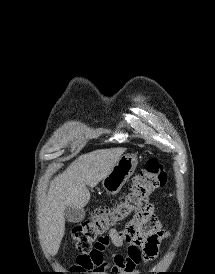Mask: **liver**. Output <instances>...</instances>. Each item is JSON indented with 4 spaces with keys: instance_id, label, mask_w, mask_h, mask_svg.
Segmentation results:
<instances>
[{
    "instance_id": "6515ba94",
    "label": "liver",
    "mask_w": 215,
    "mask_h": 274,
    "mask_svg": "<svg viewBox=\"0 0 215 274\" xmlns=\"http://www.w3.org/2000/svg\"><path fill=\"white\" fill-rule=\"evenodd\" d=\"M124 148L95 150L81 155L50 183L40 208V232L44 252L56 255L65 232L66 206L85 207L91 194L86 185L95 187L112 170Z\"/></svg>"
}]
</instances>
